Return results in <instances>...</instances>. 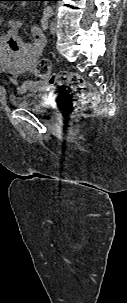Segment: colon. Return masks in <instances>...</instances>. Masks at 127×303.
Returning a JSON list of instances; mask_svg holds the SVG:
<instances>
[{"instance_id":"colon-1","label":"colon","mask_w":127,"mask_h":303,"mask_svg":"<svg viewBox=\"0 0 127 303\" xmlns=\"http://www.w3.org/2000/svg\"><path fill=\"white\" fill-rule=\"evenodd\" d=\"M36 71L41 77L49 76L52 84L63 89L59 102L65 111L93 108L97 104L96 90L78 73L67 70L52 72L51 63L46 58L37 62Z\"/></svg>"}]
</instances>
